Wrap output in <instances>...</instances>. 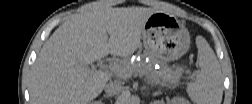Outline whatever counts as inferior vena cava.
Returning <instances> with one entry per match:
<instances>
[{
    "instance_id": "602c4592",
    "label": "inferior vena cava",
    "mask_w": 252,
    "mask_h": 104,
    "mask_svg": "<svg viewBox=\"0 0 252 104\" xmlns=\"http://www.w3.org/2000/svg\"><path fill=\"white\" fill-rule=\"evenodd\" d=\"M122 89L123 87L121 86V84L113 81L107 83L104 88L105 92L110 95L119 94Z\"/></svg>"
}]
</instances>
